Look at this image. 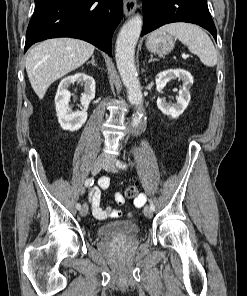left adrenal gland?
<instances>
[{
  "mask_svg": "<svg viewBox=\"0 0 247 296\" xmlns=\"http://www.w3.org/2000/svg\"><path fill=\"white\" fill-rule=\"evenodd\" d=\"M152 61H158V60L153 58V55H150V59H149L148 63H151Z\"/></svg>",
  "mask_w": 247,
  "mask_h": 296,
  "instance_id": "left-adrenal-gland-1",
  "label": "left adrenal gland"
}]
</instances>
